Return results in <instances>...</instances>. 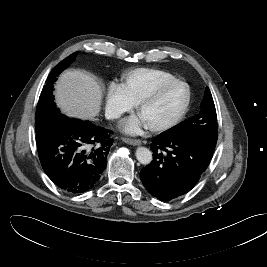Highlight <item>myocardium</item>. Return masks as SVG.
<instances>
[{
    "label": "myocardium",
    "instance_id": "myocardium-1",
    "mask_svg": "<svg viewBox=\"0 0 267 267\" xmlns=\"http://www.w3.org/2000/svg\"><path fill=\"white\" fill-rule=\"evenodd\" d=\"M174 85H183L186 88L187 97H186V100H185L183 107L171 119L164 121V122H161V123H158V124L147 125V128L149 130H151L153 132H162V131L168 130V129L176 126L177 124H179L183 120V118L186 116V114L190 108V105H191L192 92H191V88H190L189 84L183 80H180V79H174V80L165 82V83L159 85L158 87H156L154 90H152L148 94L144 95L137 103V111H138V113H140V111L142 110V108L144 106H146L147 104L156 100L166 89H168L169 87L174 86Z\"/></svg>",
    "mask_w": 267,
    "mask_h": 267
}]
</instances>
